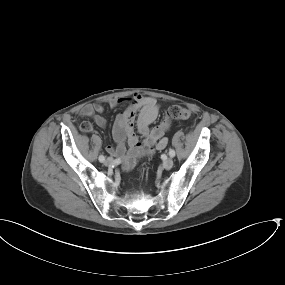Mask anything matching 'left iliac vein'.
I'll return each mask as SVG.
<instances>
[{
    "mask_svg": "<svg viewBox=\"0 0 285 285\" xmlns=\"http://www.w3.org/2000/svg\"><path fill=\"white\" fill-rule=\"evenodd\" d=\"M163 168L166 169V170H169L173 167V159L171 157L165 159L163 161Z\"/></svg>",
    "mask_w": 285,
    "mask_h": 285,
    "instance_id": "4c4485c4",
    "label": "left iliac vein"
}]
</instances>
